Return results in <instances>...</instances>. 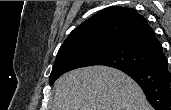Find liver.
Returning a JSON list of instances; mask_svg holds the SVG:
<instances>
[{
	"instance_id": "obj_1",
	"label": "liver",
	"mask_w": 171,
	"mask_h": 110,
	"mask_svg": "<svg viewBox=\"0 0 171 110\" xmlns=\"http://www.w3.org/2000/svg\"><path fill=\"white\" fill-rule=\"evenodd\" d=\"M52 110H153L128 75L107 66H89L63 74L55 84Z\"/></svg>"
}]
</instances>
